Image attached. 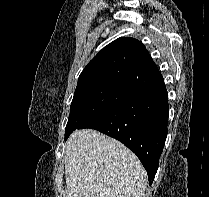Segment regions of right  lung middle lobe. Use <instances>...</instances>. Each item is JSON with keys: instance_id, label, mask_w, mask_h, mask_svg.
<instances>
[{"instance_id": "dd1d6c3e", "label": "right lung middle lobe", "mask_w": 209, "mask_h": 197, "mask_svg": "<svg viewBox=\"0 0 209 197\" xmlns=\"http://www.w3.org/2000/svg\"><path fill=\"white\" fill-rule=\"evenodd\" d=\"M138 92L114 81L78 82L71 103L65 139L75 130Z\"/></svg>"}]
</instances>
